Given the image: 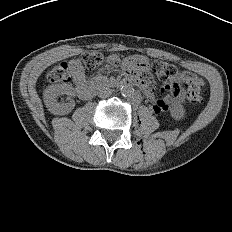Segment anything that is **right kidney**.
<instances>
[{"instance_id": "1", "label": "right kidney", "mask_w": 232, "mask_h": 232, "mask_svg": "<svg viewBox=\"0 0 232 232\" xmlns=\"http://www.w3.org/2000/svg\"><path fill=\"white\" fill-rule=\"evenodd\" d=\"M63 94L69 96L68 103L57 101V98ZM73 96H75V89L68 84H52L47 86L43 92L44 103L48 111L54 115L69 114L75 107V102L71 99Z\"/></svg>"}]
</instances>
